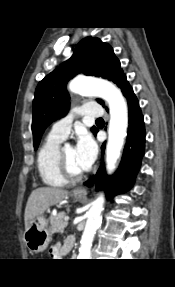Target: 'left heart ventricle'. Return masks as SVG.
I'll return each instance as SVG.
<instances>
[{"label": "left heart ventricle", "instance_id": "b2bd125f", "mask_svg": "<svg viewBox=\"0 0 175 287\" xmlns=\"http://www.w3.org/2000/svg\"><path fill=\"white\" fill-rule=\"evenodd\" d=\"M64 155L70 169L74 172H82L76 158L75 149L71 146L64 147Z\"/></svg>", "mask_w": 175, "mask_h": 287}]
</instances>
